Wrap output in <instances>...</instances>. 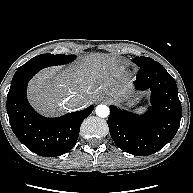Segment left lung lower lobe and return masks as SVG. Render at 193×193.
<instances>
[{"label":"left lung lower lobe","mask_w":193,"mask_h":193,"mask_svg":"<svg viewBox=\"0 0 193 193\" xmlns=\"http://www.w3.org/2000/svg\"><path fill=\"white\" fill-rule=\"evenodd\" d=\"M134 84L139 90H151L148 112L138 116L111 105L108 126L120 149L146 156L159 151L175 136L182 108L175 80L158 62L140 68Z\"/></svg>","instance_id":"0a47b994"}]
</instances>
